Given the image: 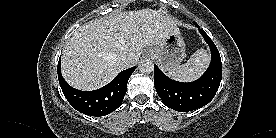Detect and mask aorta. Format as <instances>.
Returning a JSON list of instances; mask_svg holds the SVG:
<instances>
[{
    "label": "aorta",
    "mask_w": 276,
    "mask_h": 138,
    "mask_svg": "<svg viewBox=\"0 0 276 138\" xmlns=\"http://www.w3.org/2000/svg\"><path fill=\"white\" fill-rule=\"evenodd\" d=\"M139 71L141 73H151L154 69V65L151 60L144 59L138 65Z\"/></svg>",
    "instance_id": "762f6f07"
}]
</instances>
